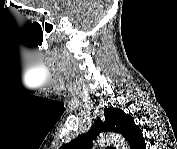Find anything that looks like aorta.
Masks as SVG:
<instances>
[{
  "mask_svg": "<svg viewBox=\"0 0 177 149\" xmlns=\"http://www.w3.org/2000/svg\"><path fill=\"white\" fill-rule=\"evenodd\" d=\"M110 143H117V145L121 146L122 148L126 147L125 140L122 139L120 136H117L114 134L102 135L96 141V145H99V146H104V145L110 144Z\"/></svg>",
  "mask_w": 177,
  "mask_h": 149,
  "instance_id": "1",
  "label": "aorta"
}]
</instances>
